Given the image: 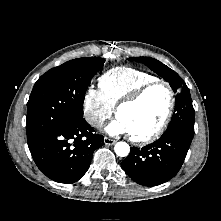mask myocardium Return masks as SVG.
<instances>
[{
    "mask_svg": "<svg viewBox=\"0 0 221 221\" xmlns=\"http://www.w3.org/2000/svg\"><path fill=\"white\" fill-rule=\"evenodd\" d=\"M156 85H163L166 87V89L168 91L169 105H168L167 112L164 116L163 121L158 126V128L155 129L150 134L142 136V137H135L130 134V140L136 144L142 145V144L151 143V142L157 140L166 130V128L172 118L174 108H175V103H176V97H175V93H174L172 86L167 81L161 80V79H156V80L147 82V83L143 84L142 86H140L139 88H137L132 93H130L129 95H127L125 98H123L121 101H119L118 104L116 105L115 113H116V116L118 117V114L122 108L137 103L149 89H151L152 87H154Z\"/></svg>",
    "mask_w": 221,
    "mask_h": 221,
    "instance_id": "obj_1",
    "label": "myocardium"
}]
</instances>
